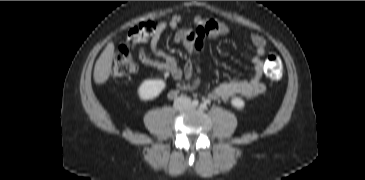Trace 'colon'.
<instances>
[{
	"label": "colon",
	"instance_id": "1",
	"mask_svg": "<svg viewBox=\"0 0 365 180\" xmlns=\"http://www.w3.org/2000/svg\"><path fill=\"white\" fill-rule=\"evenodd\" d=\"M158 23L146 21L131 28L126 36V41L114 55L112 72L115 76H127L137 71V64L129 53L130 47L138 46L151 39L157 31ZM266 72L269 77L278 80L282 76V60L276 53L267 56L265 62Z\"/></svg>",
	"mask_w": 365,
	"mask_h": 180
}]
</instances>
